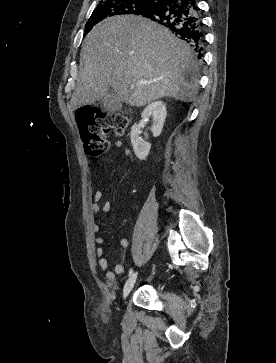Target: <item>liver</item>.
Returning <instances> with one entry per match:
<instances>
[{
  "instance_id": "obj_1",
  "label": "liver",
  "mask_w": 276,
  "mask_h": 363,
  "mask_svg": "<svg viewBox=\"0 0 276 363\" xmlns=\"http://www.w3.org/2000/svg\"><path fill=\"white\" fill-rule=\"evenodd\" d=\"M81 59L84 68L70 100L72 110L101 100L109 87L121 102L137 107L163 97L187 102L198 94L193 50L141 16H115L96 25L84 40Z\"/></svg>"
}]
</instances>
